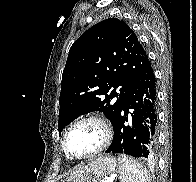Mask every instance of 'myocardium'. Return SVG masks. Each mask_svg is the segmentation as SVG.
I'll use <instances>...</instances> for the list:
<instances>
[{"mask_svg": "<svg viewBox=\"0 0 196 182\" xmlns=\"http://www.w3.org/2000/svg\"><path fill=\"white\" fill-rule=\"evenodd\" d=\"M95 123L98 125V127L101 130L102 134V139L100 144L91 152L85 154V155H74L72 154L69 149H68V137L71 133V131L78 125L83 124V123ZM112 138V131L110 128V125L108 122L101 116L95 115V114H90V115H85L83 117H80L79 119L75 120L66 130L64 137H63V150L65 154L71 158V159H76V160H84V159H89L92 158L98 154H100L103 150H105L108 145L110 144Z\"/></svg>", "mask_w": 196, "mask_h": 182, "instance_id": "myocardium-1", "label": "myocardium"}]
</instances>
